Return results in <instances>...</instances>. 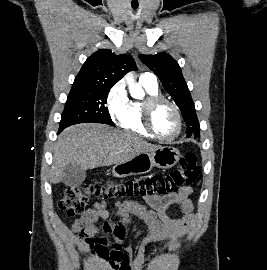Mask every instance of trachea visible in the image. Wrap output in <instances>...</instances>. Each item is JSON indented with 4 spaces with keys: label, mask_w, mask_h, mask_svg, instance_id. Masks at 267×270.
I'll return each mask as SVG.
<instances>
[{
    "label": "trachea",
    "mask_w": 267,
    "mask_h": 270,
    "mask_svg": "<svg viewBox=\"0 0 267 270\" xmlns=\"http://www.w3.org/2000/svg\"><path fill=\"white\" fill-rule=\"evenodd\" d=\"M134 9H136L137 7L136 6H133Z\"/></svg>",
    "instance_id": "obj_1"
}]
</instances>
